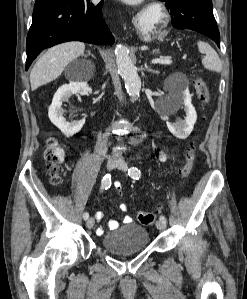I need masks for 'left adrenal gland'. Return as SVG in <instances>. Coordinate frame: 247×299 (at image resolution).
I'll use <instances>...</instances> for the list:
<instances>
[{"mask_svg": "<svg viewBox=\"0 0 247 299\" xmlns=\"http://www.w3.org/2000/svg\"><path fill=\"white\" fill-rule=\"evenodd\" d=\"M145 70L154 74H159V71L148 68V66L145 64Z\"/></svg>", "mask_w": 247, "mask_h": 299, "instance_id": "left-adrenal-gland-1", "label": "left adrenal gland"}]
</instances>
